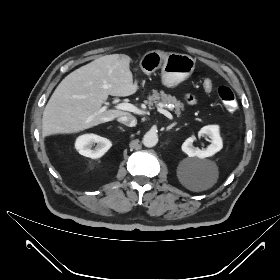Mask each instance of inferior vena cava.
<instances>
[{"label": "inferior vena cava", "instance_id": "inferior-vena-cava-1", "mask_svg": "<svg viewBox=\"0 0 280 280\" xmlns=\"http://www.w3.org/2000/svg\"><path fill=\"white\" fill-rule=\"evenodd\" d=\"M118 122L128 126V127H134L137 124V120L134 116H121L117 119Z\"/></svg>", "mask_w": 280, "mask_h": 280}]
</instances>
